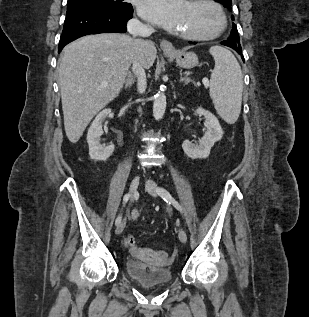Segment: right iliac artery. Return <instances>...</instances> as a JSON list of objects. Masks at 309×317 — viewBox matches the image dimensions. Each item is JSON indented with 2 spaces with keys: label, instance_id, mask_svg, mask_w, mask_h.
<instances>
[{
  "label": "right iliac artery",
  "instance_id": "right-iliac-artery-1",
  "mask_svg": "<svg viewBox=\"0 0 309 317\" xmlns=\"http://www.w3.org/2000/svg\"><path fill=\"white\" fill-rule=\"evenodd\" d=\"M129 198H130V194L129 193L125 194L124 197H123V204H125L129 200ZM121 218H122L121 215H119L116 218V221H115L116 225H118L121 222Z\"/></svg>",
  "mask_w": 309,
  "mask_h": 317
}]
</instances>
